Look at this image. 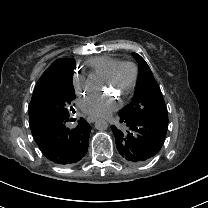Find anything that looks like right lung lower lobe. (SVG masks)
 <instances>
[{
	"label": "right lung lower lobe",
	"mask_w": 208,
	"mask_h": 208,
	"mask_svg": "<svg viewBox=\"0 0 208 208\" xmlns=\"http://www.w3.org/2000/svg\"><path fill=\"white\" fill-rule=\"evenodd\" d=\"M29 120L37 145L53 163L70 165L79 162L86 155L91 126L83 118L73 129L66 126L69 116Z\"/></svg>",
	"instance_id": "right-lung-lower-lobe-1"
}]
</instances>
